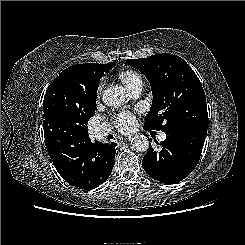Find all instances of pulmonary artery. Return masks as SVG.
Here are the masks:
<instances>
[{"label": "pulmonary artery", "instance_id": "obj_1", "mask_svg": "<svg viewBox=\"0 0 245 245\" xmlns=\"http://www.w3.org/2000/svg\"><path fill=\"white\" fill-rule=\"evenodd\" d=\"M143 89V83L138 84L136 87H134L130 92L134 97H138L141 94V91ZM109 132V128L106 125H100L95 129V135L98 139L103 138L106 136ZM166 134L161 133L159 135L160 140H165Z\"/></svg>", "mask_w": 245, "mask_h": 245}]
</instances>
